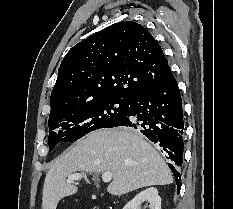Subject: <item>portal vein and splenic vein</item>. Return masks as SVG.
Instances as JSON below:
<instances>
[{
    "label": "portal vein and splenic vein",
    "mask_w": 233,
    "mask_h": 209,
    "mask_svg": "<svg viewBox=\"0 0 233 209\" xmlns=\"http://www.w3.org/2000/svg\"><path fill=\"white\" fill-rule=\"evenodd\" d=\"M82 177H83L82 174L76 173V174L68 176L67 182L69 183V182H71L73 180H79ZM102 180H103V182H106V183L110 182L112 180V173L111 172H104L102 174Z\"/></svg>",
    "instance_id": "portal-vein-and-splenic-vein-1"
}]
</instances>
